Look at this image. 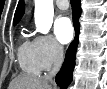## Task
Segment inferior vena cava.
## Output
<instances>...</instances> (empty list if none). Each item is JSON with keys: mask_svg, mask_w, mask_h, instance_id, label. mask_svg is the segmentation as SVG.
<instances>
[{"mask_svg": "<svg viewBox=\"0 0 107 89\" xmlns=\"http://www.w3.org/2000/svg\"><path fill=\"white\" fill-rule=\"evenodd\" d=\"M63 58H64L63 47L60 44L56 43L55 44V53H54V64H53L52 70L46 76L47 80L51 81L52 78L58 73V71L61 68Z\"/></svg>", "mask_w": 107, "mask_h": 89, "instance_id": "1", "label": "inferior vena cava"}]
</instances>
